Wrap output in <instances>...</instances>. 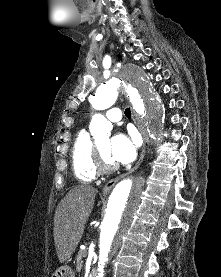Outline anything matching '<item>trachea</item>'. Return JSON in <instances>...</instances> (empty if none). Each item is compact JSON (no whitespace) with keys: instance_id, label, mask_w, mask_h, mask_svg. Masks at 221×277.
<instances>
[{"instance_id":"trachea-1","label":"trachea","mask_w":221,"mask_h":277,"mask_svg":"<svg viewBox=\"0 0 221 277\" xmlns=\"http://www.w3.org/2000/svg\"><path fill=\"white\" fill-rule=\"evenodd\" d=\"M125 115H126L128 118L131 117V110H130V108H127V109L125 110Z\"/></svg>"}]
</instances>
